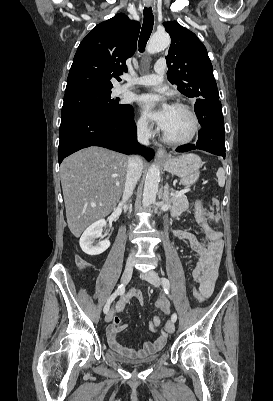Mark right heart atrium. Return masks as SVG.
<instances>
[{
    "label": "right heart atrium",
    "mask_w": 273,
    "mask_h": 401,
    "mask_svg": "<svg viewBox=\"0 0 273 401\" xmlns=\"http://www.w3.org/2000/svg\"><path fill=\"white\" fill-rule=\"evenodd\" d=\"M136 129L138 133L145 138H149L154 134L152 124L144 117H139L136 121Z\"/></svg>",
    "instance_id": "right-heart-atrium-1"
}]
</instances>
